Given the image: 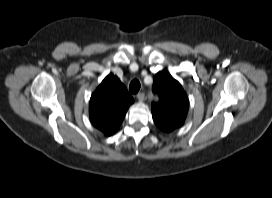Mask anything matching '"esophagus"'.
<instances>
[{
  "label": "esophagus",
  "mask_w": 272,
  "mask_h": 198,
  "mask_svg": "<svg viewBox=\"0 0 272 198\" xmlns=\"http://www.w3.org/2000/svg\"><path fill=\"white\" fill-rule=\"evenodd\" d=\"M144 98H145V95L143 92H140L137 94V99L139 102H142L144 100Z\"/></svg>",
  "instance_id": "esophagus-1"
}]
</instances>
